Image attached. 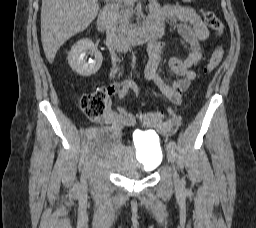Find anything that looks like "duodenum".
Wrapping results in <instances>:
<instances>
[{"instance_id":"410a0bca","label":"duodenum","mask_w":256,"mask_h":228,"mask_svg":"<svg viewBox=\"0 0 256 228\" xmlns=\"http://www.w3.org/2000/svg\"><path fill=\"white\" fill-rule=\"evenodd\" d=\"M97 28L102 35H106L108 32V11L106 8L99 15ZM158 35L157 28L146 21L140 26L120 34L115 39H110L109 43L118 50H125L131 46L143 44L150 38L157 37Z\"/></svg>"}]
</instances>
